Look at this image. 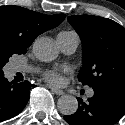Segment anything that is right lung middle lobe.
I'll use <instances>...</instances> for the list:
<instances>
[{"label": "right lung middle lobe", "instance_id": "dd1d6c3e", "mask_svg": "<svg viewBox=\"0 0 125 125\" xmlns=\"http://www.w3.org/2000/svg\"><path fill=\"white\" fill-rule=\"evenodd\" d=\"M12 53H2L0 54V75L3 73V67L4 65L9 61V58L12 56Z\"/></svg>", "mask_w": 125, "mask_h": 125}]
</instances>
